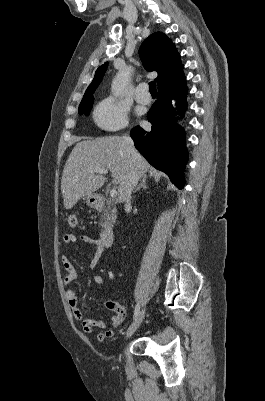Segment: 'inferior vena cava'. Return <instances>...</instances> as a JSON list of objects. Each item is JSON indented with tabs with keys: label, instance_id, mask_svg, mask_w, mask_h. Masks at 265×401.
I'll return each instance as SVG.
<instances>
[{
	"label": "inferior vena cava",
	"instance_id": "inferior-vena-cava-1",
	"mask_svg": "<svg viewBox=\"0 0 265 401\" xmlns=\"http://www.w3.org/2000/svg\"><path fill=\"white\" fill-rule=\"evenodd\" d=\"M123 138H124L127 146H129V148H134V142H133L131 136H123ZM133 156H135V154H133ZM138 180H139L138 172H131V176H130L127 184H125V186H124V201H125L126 205H130L131 192H132L134 186H136Z\"/></svg>",
	"mask_w": 265,
	"mask_h": 401
}]
</instances>
